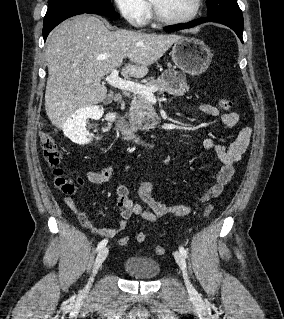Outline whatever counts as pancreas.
I'll use <instances>...</instances> for the list:
<instances>
[{
  "instance_id": "obj_1",
  "label": "pancreas",
  "mask_w": 284,
  "mask_h": 319,
  "mask_svg": "<svg viewBox=\"0 0 284 319\" xmlns=\"http://www.w3.org/2000/svg\"><path fill=\"white\" fill-rule=\"evenodd\" d=\"M168 73L173 76L169 77ZM146 86L158 87L159 93L167 92L172 95L182 96L189 89L185 81V76L181 75L175 70L165 71L159 78H149ZM157 115L152 103L142 95H136L131 102L129 113L130 122L133 128L141 131H148L155 126V119Z\"/></svg>"
}]
</instances>
